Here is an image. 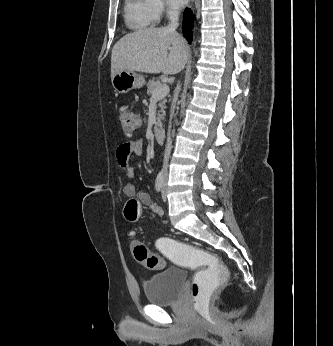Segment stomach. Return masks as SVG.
I'll return each instance as SVG.
<instances>
[{"mask_svg": "<svg viewBox=\"0 0 333 346\" xmlns=\"http://www.w3.org/2000/svg\"><path fill=\"white\" fill-rule=\"evenodd\" d=\"M145 84L142 75L135 72L120 71L112 78V85L116 92L125 94L132 89H139Z\"/></svg>", "mask_w": 333, "mask_h": 346, "instance_id": "1", "label": "stomach"}]
</instances>
